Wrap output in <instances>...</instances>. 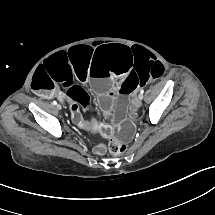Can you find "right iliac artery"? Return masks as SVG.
<instances>
[{
	"instance_id": "right-iliac-artery-1",
	"label": "right iliac artery",
	"mask_w": 215,
	"mask_h": 215,
	"mask_svg": "<svg viewBox=\"0 0 215 215\" xmlns=\"http://www.w3.org/2000/svg\"><path fill=\"white\" fill-rule=\"evenodd\" d=\"M53 104H54V105H56V104H57V102H56V101H53Z\"/></svg>"
}]
</instances>
